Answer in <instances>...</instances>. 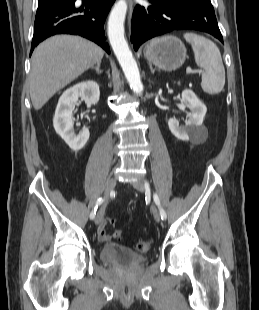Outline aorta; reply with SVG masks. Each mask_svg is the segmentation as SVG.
I'll use <instances>...</instances> for the list:
<instances>
[{
  "instance_id": "aorta-1",
  "label": "aorta",
  "mask_w": 259,
  "mask_h": 310,
  "mask_svg": "<svg viewBox=\"0 0 259 310\" xmlns=\"http://www.w3.org/2000/svg\"><path fill=\"white\" fill-rule=\"evenodd\" d=\"M127 13V3L119 0L111 10L108 20V37L114 54L121 65L125 77L135 93L143 91L139 70L128 43L124 37V21Z\"/></svg>"
}]
</instances>
